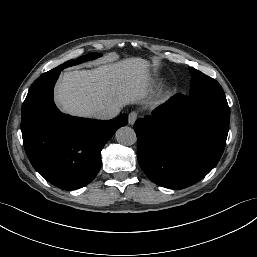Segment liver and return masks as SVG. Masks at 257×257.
<instances>
[{"label":"liver","instance_id":"1","mask_svg":"<svg viewBox=\"0 0 257 257\" xmlns=\"http://www.w3.org/2000/svg\"><path fill=\"white\" fill-rule=\"evenodd\" d=\"M148 66L144 59L128 58L92 70L66 72L56 86V102L62 111L83 117H93L98 108L138 102L148 92Z\"/></svg>","mask_w":257,"mask_h":257}]
</instances>
